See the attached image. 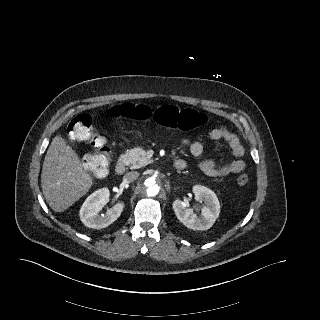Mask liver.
Listing matches in <instances>:
<instances>
[{"mask_svg": "<svg viewBox=\"0 0 320 320\" xmlns=\"http://www.w3.org/2000/svg\"><path fill=\"white\" fill-rule=\"evenodd\" d=\"M93 184L91 176L75 151L56 136L46 153L41 174V187L50 208L63 212L86 194Z\"/></svg>", "mask_w": 320, "mask_h": 320, "instance_id": "1", "label": "liver"}]
</instances>
